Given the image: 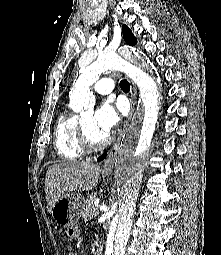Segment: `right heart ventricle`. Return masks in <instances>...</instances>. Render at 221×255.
Here are the masks:
<instances>
[{"instance_id":"1","label":"right heart ventricle","mask_w":221,"mask_h":255,"mask_svg":"<svg viewBox=\"0 0 221 255\" xmlns=\"http://www.w3.org/2000/svg\"><path fill=\"white\" fill-rule=\"evenodd\" d=\"M54 145L58 156L65 161L80 160L85 155L79 138V119L74 113L63 111L58 117Z\"/></svg>"}]
</instances>
